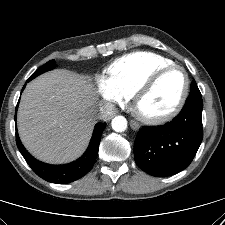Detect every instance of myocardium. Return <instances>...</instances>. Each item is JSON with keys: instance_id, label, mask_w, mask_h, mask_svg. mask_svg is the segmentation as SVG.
<instances>
[{"instance_id": "f54148a6", "label": "myocardium", "mask_w": 225, "mask_h": 225, "mask_svg": "<svg viewBox=\"0 0 225 225\" xmlns=\"http://www.w3.org/2000/svg\"><path fill=\"white\" fill-rule=\"evenodd\" d=\"M174 70H178L182 72L183 78H184L182 90L175 105L170 110L160 115L151 116V115H146L142 113L139 109V104L141 100L143 99V97L153 89V87L155 86V84L158 82V80L161 77H163L168 72H171ZM189 87H190L189 76L186 70L182 66L177 64H171L166 67L160 68L157 71L150 74L133 93L132 95L133 110L135 114L137 115V117L145 124L159 125V124L168 122L171 119H173L175 116H177L179 112L182 110L188 98Z\"/></svg>"}]
</instances>
